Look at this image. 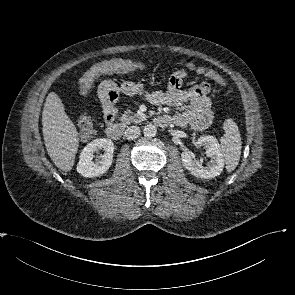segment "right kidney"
Returning <instances> with one entry per match:
<instances>
[{"label": "right kidney", "instance_id": "ca27d5eb", "mask_svg": "<svg viewBox=\"0 0 295 295\" xmlns=\"http://www.w3.org/2000/svg\"><path fill=\"white\" fill-rule=\"evenodd\" d=\"M103 150L97 162L93 161L94 153ZM114 153V144L110 139L99 138L90 142L81 152L77 172L84 177H97L110 168Z\"/></svg>", "mask_w": 295, "mask_h": 295}]
</instances>
